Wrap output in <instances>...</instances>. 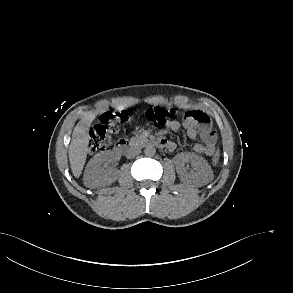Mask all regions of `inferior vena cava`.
<instances>
[{
    "instance_id": "602c4592",
    "label": "inferior vena cava",
    "mask_w": 293,
    "mask_h": 293,
    "mask_svg": "<svg viewBox=\"0 0 293 293\" xmlns=\"http://www.w3.org/2000/svg\"><path fill=\"white\" fill-rule=\"evenodd\" d=\"M141 153V149L139 147H132L128 153H127V157L128 158H132L134 156H137Z\"/></svg>"
}]
</instances>
